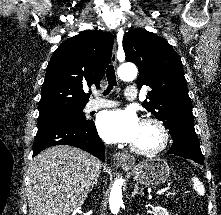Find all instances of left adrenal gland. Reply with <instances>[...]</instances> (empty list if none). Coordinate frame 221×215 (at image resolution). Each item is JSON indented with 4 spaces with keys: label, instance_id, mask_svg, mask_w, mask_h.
Returning a JSON list of instances; mask_svg holds the SVG:
<instances>
[{
    "label": "left adrenal gland",
    "instance_id": "obj_1",
    "mask_svg": "<svg viewBox=\"0 0 221 215\" xmlns=\"http://www.w3.org/2000/svg\"><path fill=\"white\" fill-rule=\"evenodd\" d=\"M136 195H143V193L142 192H138V185L137 184H135V186H134V191H133V193H132V197H134V196H136Z\"/></svg>",
    "mask_w": 221,
    "mask_h": 215
}]
</instances>
